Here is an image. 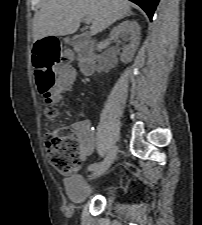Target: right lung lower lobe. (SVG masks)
Wrapping results in <instances>:
<instances>
[{"label":"right lung lower lobe","mask_w":202,"mask_h":225,"mask_svg":"<svg viewBox=\"0 0 202 225\" xmlns=\"http://www.w3.org/2000/svg\"><path fill=\"white\" fill-rule=\"evenodd\" d=\"M130 1L139 5L147 13L150 20L152 19L156 6L159 2V0H130Z\"/></svg>","instance_id":"1"}]
</instances>
